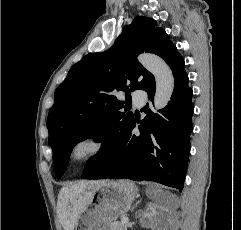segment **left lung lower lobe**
<instances>
[{
    "instance_id": "left-lung-lower-lobe-1",
    "label": "left lung lower lobe",
    "mask_w": 241,
    "mask_h": 230,
    "mask_svg": "<svg viewBox=\"0 0 241 230\" xmlns=\"http://www.w3.org/2000/svg\"><path fill=\"white\" fill-rule=\"evenodd\" d=\"M169 67L175 85L168 105L158 113L146 110L147 116L139 125L140 134L132 133L136 126L133 120L118 137L103 144L100 152L88 161L82 179L154 181L181 191L193 130V92L180 54ZM145 91L153 101L155 82Z\"/></svg>"
}]
</instances>
